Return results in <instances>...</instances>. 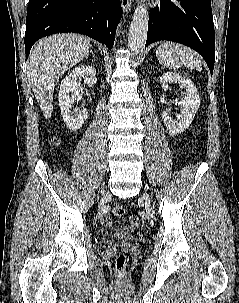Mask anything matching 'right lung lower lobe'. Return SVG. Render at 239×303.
Instances as JSON below:
<instances>
[{
	"mask_svg": "<svg viewBox=\"0 0 239 303\" xmlns=\"http://www.w3.org/2000/svg\"><path fill=\"white\" fill-rule=\"evenodd\" d=\"M121 16L120 0H29L26 59L38 39L63 32L87 35L111 49Z\"/></svg>",
	"mask_w": 239,
	"mask_h": 303,
	"instance_id": "right-lung-lower-lobe-1",
	"label": "right lung lower lobe"
}]
</instances>
